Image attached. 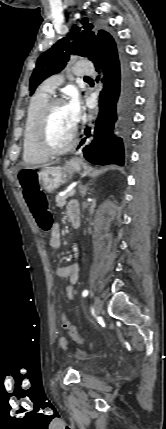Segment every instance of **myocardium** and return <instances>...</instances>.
<instances>
[{"instance_id":"f54148a6","label":"myocardium","mask_w":166,"mask_h":429,"mask_svg":"<svg viewBox=\"0 0 166 429\" xmlns=\"http://www.w3.org/2000/svg\"><path fill=\"white\" fill-rule=\"evenodd\" d=\"M65 103V100L62 97H52L50 98L43 108L41 109L35 124L34 130V144L36 148L47 156H57L64 154L70 151L77 139L78 128L77 125H74L73 131L71 133L68 143L62 147H53L47 141V124L49 116L52 110L59 104Z\"/></svg>"}]
</instances>
